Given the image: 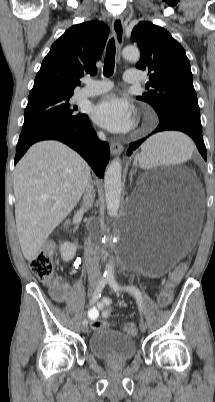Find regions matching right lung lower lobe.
Listing matches in <instances>:
<instances>
[{
  "label": "right lung lower lobe",
  "mask_w": 215,
  "mask_h": 402,
  "mask_svg": "<svg viewBox=\"0 0 215 402\" xmlns=\"http://www.w3.org/2000/svg\"><path fill=\"white\" fill-rule=\"evenodd\" d=\"M41 140H58L67 144L88 162L100 178L103 177L110 157L109 145L97 138L86 115L74 123L49 130L25 144L17 145L15 163L32 144Z\"/></svg>",
  "instance_id": "obj_1"
}]
</instances>
